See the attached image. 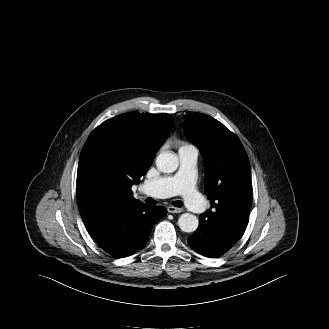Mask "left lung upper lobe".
I'll use <instances>...</instances> for the list:
<instances>
[{
  "label": "left lung upper lobe",
  "mask_w": 329,
  "mask_h": 329,
  "mask_svg": "<svg viewBox=\"0 0 329 329\" xmlns=\"http://www.w3.org/2000/svg\"><path fill=\"white\" fill-rule=\"evenodd\" d=\"M180 126L205 160V194L213 209L201 215L211 222H220L235 217L238 207H249L251 171L238 137L216 119L201 113L187 115Z\"/></svg>",
  "instance_id": "obj_1"
}]
</instances>
